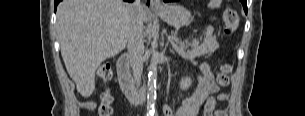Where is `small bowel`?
Instances as JSON below:
<instances>
[{"mask_svg": "<svg viewBox=\"0 0 305 116\" xmlns=\"http://www.w3.org/2000/svg\"><path fill=\"white\" fill-rule=\"evenodd\" d=\"M198 84L195 91L181 102L180 106L173 110L168 105L163 106L165 116H223L224 111L216 109L217 101H225L228 95L219 93V86L214 80V74L208 63H202L198 69Z\"/></svg>", "mask_w": 305, "mask_h": 116, "instance_id": "c3829d8e", "label": "small bowel"}]
</instances>
